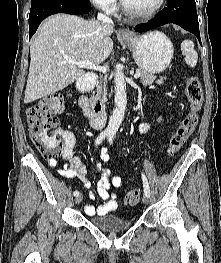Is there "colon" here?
Wrapping results in <instances>:
<instances>
[{
  "label": "colon",
  "instance_id": "5ec220e1",
  "mask_svg": "<svg viewBox=\"0 0 221 263\" xmlns=\"http://www.w3.org/2000/svg\"><path fill=\"white\" fill-rule=\"evenodd\" d=\"M186 97L189 111L180 126L171 137L168 153L175 154L188 140L199 120L203 103V91L200 81L189 76L186 82ZM64 97L60 93L49 94L27 110V122L31 141L46 159H56L63 154L64 142L62 131L58 128L57 114L63 110ZM138 189L127 193L125 203L135 206L140 201Z\"/></svg>",
  "mask_w": 221,
  "mask_h": 263
}]
</instances>
